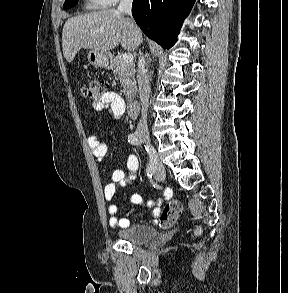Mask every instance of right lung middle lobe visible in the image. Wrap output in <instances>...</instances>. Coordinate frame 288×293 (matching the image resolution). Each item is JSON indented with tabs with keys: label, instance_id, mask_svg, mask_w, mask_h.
Here are the masks:
<instances>
[{
	"label": "right lung middle lobe",
	"instance_id": "1",
	"mask_svg": "<svg viewBox=\"0 0 288 293\" xmlns=\"http://www.w3.org/2000/svg\"><path fill=\"white\" fill-rule=\"evenodd\" d=\"M78 0H65V3L63 5V9H68L77 4Z\"/></svg>",
	"mask_w": 288,
	"mask_h": 293
}]
</instances>
